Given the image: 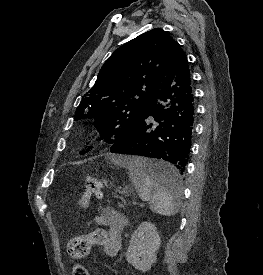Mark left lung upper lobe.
I'll return each instance as SVG.
<instances>
[{"label": "left lung upper lobe", "mask_w": 263, "mask_h": 275, "mask_svg": "<svg viewBox=\"0 0 263 275\" xmlns=\"http://www.w3.org/2000/svg\"><path fill=\"white\" fill-rule=\"evenodd\" d=\"M179 49L180 45L159 28L122 45L103 64L74 118L94 119L95 127L107 143L130 135L150 107Z\"/></svg>", "instance_id": "5c2ea615"}]
</instances>
